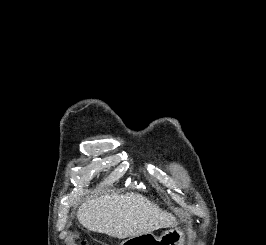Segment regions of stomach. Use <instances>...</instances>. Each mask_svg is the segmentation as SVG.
<instances>
[{"label": "stomach", "mask_w": 266, "mask_h": 245, "mask_svg": "<svg viewBox=\"0 0 266 245\" xmlns=\"http://www.w3.org/2000/svg\"><path fill=\"white\" fill-rule=\"evenodd\" d=\"M135 242H156L158 245H184L183 233L178 229H170V231H164L159 239L154 237V233H136Z\"/></svg>", "instance_id": "1"}]
</instances>
